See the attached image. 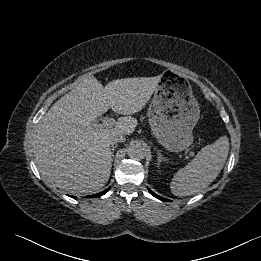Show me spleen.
I'll list each match as a JSON object with an SVG mask.
<instances>
[{"mask_svg":"<svg viewBox=\"0 0 261 261\" xmlns=\"http://www.w3.org/2000/svg\"><path fill=\"white\" fill-rule=\"evenodd\" d=\"M229 152V139L222 136L203 147L196 157L178 170L170 183L176 196H190L209 186L221 172Z\"/></svg>","mask_w":261,"mask_h":261,"instance_id":"3e777b00","label":"spleen"}]
</instances>
